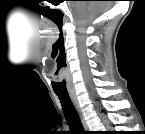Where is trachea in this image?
I'll list each match as a JSON object with an SVG mask.
<instances>
[{
	"instance_id": "trachea-1",
	"label": "trachea",
	"mask_w": 145,
	"mask_h": 134,
	"mask_svg": "<svg viewBox=\"0 0 145 134\" xmlns=\"http://www.w3.org/2000/svg\"><path fill=\"white\" fill-rule=\"evenodd\" d=\"M60 102H61V106H62V110L65 114L67 123L70 127V129L74 132H84V128L82 126V123L80 121L79 115L75 109V106L70 98L69 95H60L57 94Z\"/></svg>"
}]
</instances>
